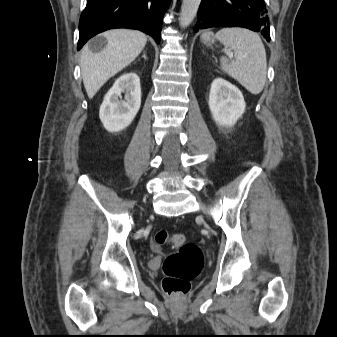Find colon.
<instances>
[{
	"mask_svg": "<svg viewBox=\"0 0 337 337\" xmlns=\"http://www.w3.org/2000/svg\"><path fill=\"white\" fill-rule=\"evenodd\" d=\"M153 242L155 248L165 244L178 248L164 260L162 287L168 295L186 294L190 289L191 281L197 277L203 267L204 257L201 249L196 244L186 243L182 234H171L165 230L158 231Z\"/></svg>",
	"mask_w": 337,
	"mask_h": 337,
	"instance_id": "obj_1",
	"label": "colon"
}]
</instances>
